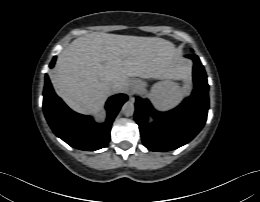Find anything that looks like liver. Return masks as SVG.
I'll use <instances>...</instances> for the list:
<instances>
[{
  "label": "liver",
  "mask_w": 260,
  "mask_h": 202,
  "mask_svg": "<svg viewBox=\"0 0 260 202\" xmlns=\"http://www.w3.org/2000/svg\"><path fill=\"white\" fill-rule=\"evenodd\" d=\"M186 71L167 40L94 32L73 40L58 55L50 78L71 109L95 114L113 91L130 87L129 77L171 78ZM112 83L118 84L116 90Z\"/></svg>",
  "instance_id": "liver-1"
}]
</instances>
